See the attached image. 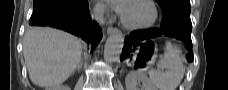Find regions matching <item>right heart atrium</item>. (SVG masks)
<instances>
[{"instance_id":"right-heart-atrium-1","label":"right heart atrium","mask_w":228,"mask_h":90,"mask_svg":"<svg viewBox=\"0 0 228 90\" xmlns=\"http://www.w3.org/2000/svg\"><path fill=\"white\" fill-rule=\"evenodd\" d=\"M103 12H104V10H103V8L100 6V5H98V4H96L95 6H94V13L96 14V15H102L103 14Z\"/></svg>"}]
</instances>
